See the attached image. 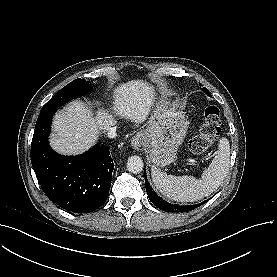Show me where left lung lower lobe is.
Wrapping results in <instances>:
<instances>
[{
	"mask_svg": "<svg viewBox=\"0 0 277 277\" xmlns=\"http://www.w3.org/2000/svg\"><path fill=\"white\" fill-rule=\"evenodd\" d=\"M145 186H146V191L148 193V197L150 201L159 209L165 211V212H174V211H180V212H186V211H191L195 208H197L201 204H196V205H188V206H179V205H173L170 204L166 201H164L162 198H160L152 189L150 186L146 175H145Z\"/></svg>",
	"mask_w": 277,
	"mask_h": 277,
	"instance_id": "1",
	"label": "left lung lower lobe"
}]
</instances>
